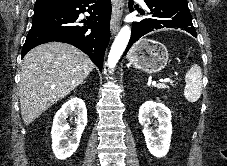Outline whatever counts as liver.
Masks as SVG:
<instances>
[{
    "label": "liver",
    "instance_id": "liver-1",
    "mask_svg": "<svg viewBox=\"0 0 227 166\" xmlns=\"http://www.w3.org/2000/svg\"><path fill=\"white\" fill-rule=\"evenodd\" d=\"M93 68L85 53L66 43L50 42L29 51L23 59L19 84L24 123L29 125L68 95Z\"/></svg>",
    "mask_w": 227,
    "mask_h": 166
}]
</instances>
